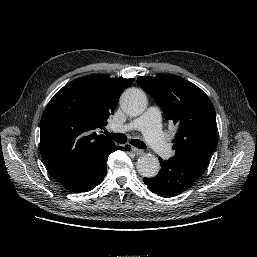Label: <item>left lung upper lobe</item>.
<instances>
[{
    "label": "left lung upper lobe",
    "instance_id": "1",
    "mask_svg": "<svg viewBox=\"0 0 257 257\" xmlns=\"http://www.w3.org/2000/svg\"><path fill=\"white\" fill-rule=\"evenodd\" d=\"M137 81L178 126L173 140L175 156L205 169L217 146L216 115L208 96L176 75L138 77Z\"/></svg>",
    "mask_w": 257,
    "mask_h": 257
}]
</instances>
